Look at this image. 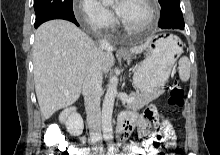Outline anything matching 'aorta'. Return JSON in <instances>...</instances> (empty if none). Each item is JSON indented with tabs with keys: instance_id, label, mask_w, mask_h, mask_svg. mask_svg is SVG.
<instances>
[{
	"instance_id": "762f6f07",
	"label": "aorta",
	"mask_w": 220,
	"mask_h": 155,
	"mask_svg": "<svg viewBox=\"0 0 220 155\" xmlns=\"http://www.w3.org/2000/svg\"><path fill=\"white\" fill-rule=\"evenodd\" d=\"M104 4H109L113 2V0H102ZM117 77H112L108 84V89L105 94V98L102 106V130L105 134H112V113L114 107L115 96L117 94Z\"/></svg>"
}]
</instances>
